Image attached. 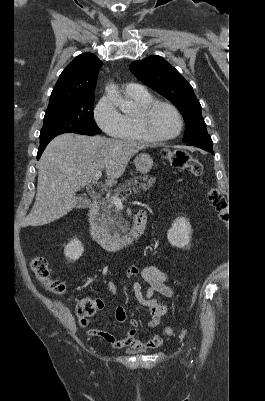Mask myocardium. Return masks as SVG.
I'll list each match as a JSON object with an SVG mask.
<instances>
[{
  "mask_svg": "<svg viewBox=\"0 0 265 401\" xmlns=\"http://www.w3.org/2000/svg\"><path fill=\"white\" fill-rule=\"evenodd\" d=\"M159 106L168 108L176 115L178 122H179V129L175 135L165 137V138H155L150 134V132L148 130V126H147V121H148L149 116L152 114V112ZM137 122H138L139 129H140L144 139L148 142H168V141L174 140L182 134L183 128H184V120H183V116L180 113V111L171 103H168L166 101H161V100H153L149 104L142 107L139 110V113L137 116Z\"/></svg>",
  "mask_w": 265,
  "mask_h": 401,
  "instance_id": "1",
  "label": "myocardium"
}]
</instances>
